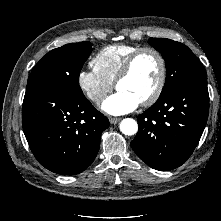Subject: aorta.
<instances>
[{
  "mask_svg": "<svg viewBox=\"0 0 221 221\" xmlns=\"http://www.w3.org/2000/svg\"><path fill=\"white\" fill-rule=\"evenodd\" d=\"M120 131L128 136L134 135L138 131V123L132 118H125L120 122Z\"/></svg>",
  "mask_w": 221,
  "mask_h": 221,
  "instance_id": "762f6f07",
  "label": "aorta"
}]
</instances>
